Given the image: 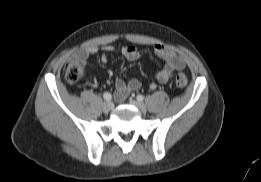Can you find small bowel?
Returning a JSON list of instances; mask_svg holds the SVG:
<instances>
[{"label": "small bowel", "mask_w": 261, "mask_h": 182, "mask_svg": "<svg viewBox=\"0 0 261 182\" xmlns=\"http://www.w3.org/2000/svg\"><path fill=\"white\" fill-rule=\"evenodd\" d=\"M99 51L119 52L129 61H135L141 55L140 49L135 45L122 46L118 48L112 45H105L102 47H99L97 45H89L81 48L76 53H74L73 60H77L83 66H86L88 58L91 55L97 54ZM155 53L165 62L164 66L155 75V79L160 83L168 82L176 71L182 70L185 66L184 59L179 56L174 49L170 47L164 45H156ZM100 59L102 63L107 62V57L105 54H102ZM140 87L141 83L137 79H131L128 82H125L121 78H116L115 96L118 100H124L130 92L136 91ZM149 88L151 90H154L156 88V84L151 83L149 85Z\"/></svg>", "instance_id": "1"}]
</instances>
